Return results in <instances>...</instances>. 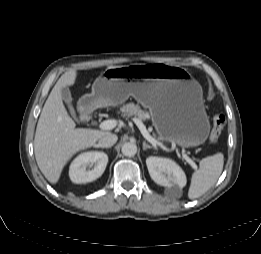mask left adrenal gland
<instances>
[{
	"instance_id": "left-adrenal-gland-1",
	"label": "left adrenal gland",
	"mask_w": 261,
	"mask_h": 254,
	"mask_svg": "<svg viewBox=\"0 0 261 254\" xmlns=\"http://www.w3.org/2000/svg\"><path fill=\"white\" fill-rule=\"evenodd\" d=\"M152 148H154V147L147 144L146 141L143 142V150L152 149Z\"/></svg>"
}]
</instances>
